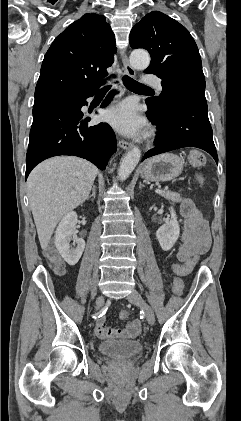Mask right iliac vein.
<instances>
[{
    "instance_id": "63e3f726",
    "label": "right iliac vein",
    "mask_w": 241,
    "mask_h": 421,
    "mask_svg": "<svg viewBox=\"0 0 241 421\" xmlns=\"http://www.w3.org/2000/svg\"><path fill=\"white\" fill-rule=\"evenodd\" d=\"M104 304V297L103 296H99L96 299V308L101 307Z\"/></svg>"
}]
</instances>
